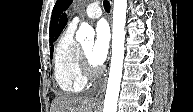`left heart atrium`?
Listing matches in <instances>:
<instances>
[{"label": "left heart atrium", "mask_w": 193, "mask_h": 112, "mask_svg": "<svg viewBox=\"0 0 193 112\" xmlns=\"http://www.w3.org/2000/svg\"><path fill=\"white\" fill-rule=\"evenodd\" d=\"M110 44V32L104 22H100L96 28V40L91 50V60L95 66L104 63L108 56Z\"/></svg>", "instance_id": "1"}]
</instances>
